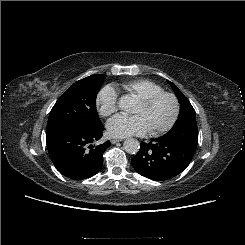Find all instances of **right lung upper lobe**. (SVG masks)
Returning <instances> with one entry per match:
<instances>
[{"label": "right lung upper lobe", "mask_w": 245, "mask_h": 245, "mask_svg": "<svg viewBox=\"0 0 245 245\" xmlns=\"http://www.w3.org/2000/svg\"><path fill=\"white\" fill-rule=\"evenodd\" d=\"M101 76H104V75H102V74L91 75V77H101Z\"/></svg>", "instance_id": "cb5924a9"}]
</instances>
